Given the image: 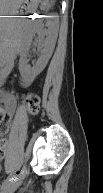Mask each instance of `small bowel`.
Segmentation results:
<instances>
[{
    "label": "small bowel",
    "instance_id": "c3829d8e",
    "mask_svg": "<svg viewBox=\"0 0 103 193\" xmlns=\"http://www.w3.org/2000/svg\"><path fill=\"white\" fill-rule=\"evenodd\" d=\"M2 99L4 103V108L2 109V113L6 114L8 116H11L17 106V101L14 95L9 94V93H2ZM7 185V183H5Z\"/></svg>",
    "mask_w": 103,
    "mask_h": 193
}]
</instances>
